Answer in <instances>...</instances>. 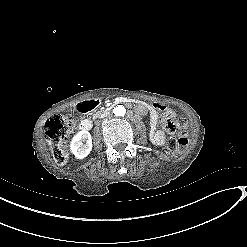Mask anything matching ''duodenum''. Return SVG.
<instances>
[{"label":"duodenum","instance_id":"1","mask_svg":"<svg viewBox=\"0 0 247 247\" xmlns=\"http://www.w3.org/2000/svg\"><path fill=\"white\" fill-rule=\"evenodd\" d=\"M134 102L135 100L128 98V97H118L117 99H115L111 107L118 105V104L134 103ZM98 105H99V101L96 99L86 100V101L79 103L76 106V110L80 113H87V112L94 110ZM92 125L93 124L90 119H84L80 123L79 127L81 130H90L92 128Z\"/></svg>","mask_w":247,"mask_h":247}]
</instances>
